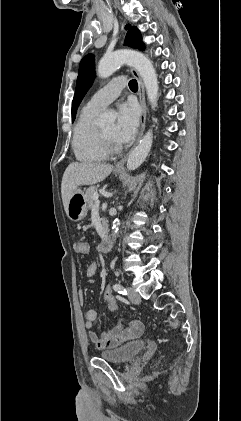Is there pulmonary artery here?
Returning a JSON list of instances; mask_svg holds the SVG:
<instances>
[{"label":"pulmonary artery","instance_id":"obj_1","mask_svg":"<svg viewBox=\"0 0 241 421\" xmlns=\"http://www.w3.org/2000/svg\"><path fill=\"white\" fill-rule=\"evenodd\" d=\"M125 86L126 82L123 77L113 79L90 98L87 106L98 111L104 109L120 95Z\"/></svg>","mask_w":241,"mask_h":421}]
</instances>
